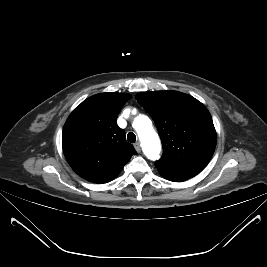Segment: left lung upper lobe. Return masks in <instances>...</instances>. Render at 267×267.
Masks as SVG:
<instances>
[{"mask_svg": "<svg viewBox=\"0 0 267 267\" xmlns=\"http://www.w3.org/2000/svg\"><path fill=\"white\" fill-rule=\"evenodd\" d=\"M154 120L163 146L155 166L188 177L201 172L216 147V131L206 107L194 97L177 91L136 95Z\"/></svg>", "mask_w": 267, "mask_h": 267, "instance_id": "left-lung-upper-lobe-1", "label": "left lung upper lobe"}]
</instances>
